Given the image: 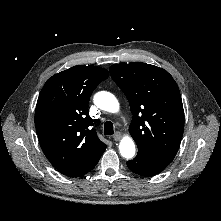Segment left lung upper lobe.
I'll return each mask as SVG.
<instances>
[{
	"instance_id": "obj_1",
	"label": "left lung upper lobe",
	"mask_w": 221,
	"mask_h": 221,
	"mask_svg": "<svg viewBox=\"0 0 221 221\" xmlns=\"http://www.w3.org/2000/svg\"><path fill=\"white\" fill-rule=\"evenodd\" d=\"M109 71L129 101L133 114L129 132L137 144V154L170 163L184 130L176 82L164 69L141 62L115 64Z\"/></svg>"
}]
</instances>
